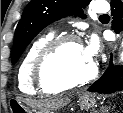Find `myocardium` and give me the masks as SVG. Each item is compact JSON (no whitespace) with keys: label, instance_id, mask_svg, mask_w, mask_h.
I'll return each instance as SVG.
<instances>
[{"label":"myocardium","instance_id":"obj_1","mask_svg":"<svg viewBox=\"0 0 123 113\" xmlns=\"http://www.w3.org/2000/svg\"><path fill=\"white\" fill-rule=\"evenodd\" d=\"M69 43H81L78 36L73 34H65L52 38L39 52L33 66V75L38 86L46 90H66L73 87L84 85L92 81L98 72L95 63L92 64V69L88 75L83 78L64 82L55 79L49 72V65L57 53Z\"/></svg>","mask_w":123,"mask_h":113}]
</instances>
